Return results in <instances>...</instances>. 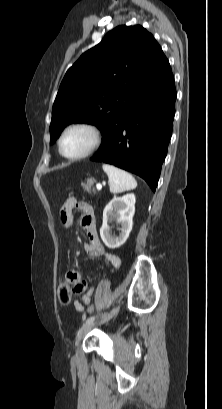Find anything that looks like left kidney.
I'll return each mask as SVG.
<instances>
[{
	"instance_id": "5707ae66",
	"label": "left kidney",
	"mask_w": 222,
	"mask_h": 409,
	"mask_svg": "<svg viewBox=\"0 0 222 409\" xmlns=\"http://www.w3.org/2000/svg\"><path fill=\"white\" fill-rule=\"evenodd\" d=\"M135 213V195L132 193L122 197L113 198L103 210V224L100 228V236L104 244L110 248H118L123 245L133 226V216ZM116 220L121 225L119 236L111 234L108 221Z\"/></svg>"
}]
</instances>
